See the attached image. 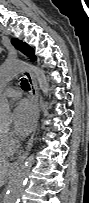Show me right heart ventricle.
<instances>
[{"label": "right heart ventricle", "mask_w": 89, "mask_h": 203, "mask_svg": "<svg viewBox=\"0 0 89 203\" xmlns=\"http://www.w3.org/2000/svg\"><path fill=\"white\" fill-rule=\"evenodd\" d=\"M13 152L14 148L8 144L6 140V135L0 133V159H7L13 154Z\"/></svg>", "instance_id": "e07e8e85"}]
</instances>
